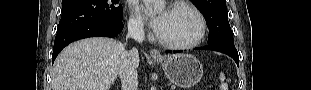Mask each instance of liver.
I'll return each mask as SVG.
<instances>
[{
	"label": "liver",
	"mask_w": 311,
	"mask_h": 90,
	"mask_svg": "<svg viewBox=\"0 0 311 90\" xmlns=\"http://www.w3.org/2000/svg\"><path fill=\"white\" fill-rule=\"evenodd\" d=\"M126 61L138 68V50L127 52L119 41L87 38L74 42L62 50L54 63L52 89L109 90Z\"/></svg>",
	"instance_id": "liver-1"
}]
</instances>
